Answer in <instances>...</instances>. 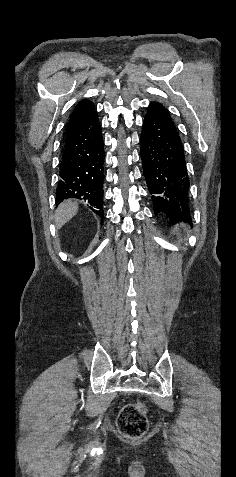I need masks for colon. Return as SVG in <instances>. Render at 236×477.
Returning a JSON list of instances; mask_svg holds the SVG:
<instances>
[{
	"label": "colon",
	"instance_id": "colon-1",
	"mask_svg": "<svg viewBox=\"0 0 236 477\" xmlns=\"http://www.w3.org/2000/svg\"><path fill=\"white\" fill-rule=\"evenodd\" d=\"M117 427L125 437L139 438L148 430V418L145 407L139 403L125 405L117 418Z\"/></svg>",
	"mask_w": 236,
	"mask_h": 477
}]
</instances>
